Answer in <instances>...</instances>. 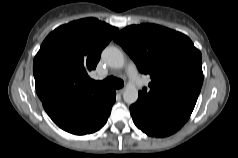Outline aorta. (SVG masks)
<instances>
[{
	"label": "aorta",
	"instance_id": "1",
	"mask_svg": "<svg viewBox=\"0 0 238 158\" xmlns=\"http://www.w3.org/2000/svg\"><path fill=\"white\" fill-rule=\"evenodd\" d=\"M102 59L108 66L115 69H121L125 65L122 51L114 46H108L103 50ZM123 99L128 104L135 103L138 99V89L134 85L128 84L124 88Z\"/></svg>",
	"mask_w": 238,
	"mask_h": 158
}]
</instances>
